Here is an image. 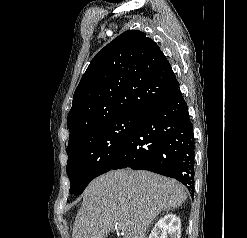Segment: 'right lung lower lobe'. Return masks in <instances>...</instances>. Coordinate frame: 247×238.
<instances>
[{
    "instance_id": "obj_1",
    "label": "right lung lower lobe",
    "mask_w": 247,
    "mask_h": 238,
    "mask_svg": "<svg viewBox=\"0 0 247 238\" xmlns=\"http://www.w3.org/2000/svg\"><path fill=\"white\" fill-rule=\"evenodd\" d=\"M194 150L193 127L178 86L140 115L111 169L152 171L177 179L193 193Z\"/></svg>"
}]
</instances>
